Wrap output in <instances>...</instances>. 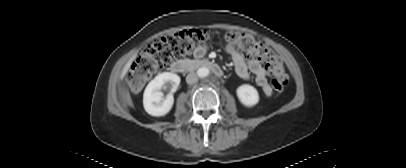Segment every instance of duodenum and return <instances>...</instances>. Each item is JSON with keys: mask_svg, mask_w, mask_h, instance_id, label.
<instances>
[{"mask_svg": "<svg viewBox=\"0 0 406 168\" xmlns=\"http://www.w3.org/2000/svg\"><path fill=\"white\" fill-rule=\"evenodd\" d=\"M199 68L210 69L217 77L224 75L221 67L209 60H179L170 66V70L174 73H188Z\"/></svg>", "mask_w": 406, "mask_h": 168, "instance_id": "duodenum-1", "label": "duodenum"}]
</instances>
